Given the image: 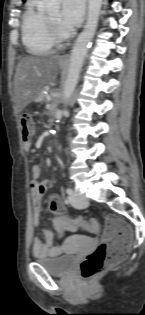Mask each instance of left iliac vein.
Returning <instances> with one entry per match:
<instances>
[{"mask_svg": "<svg viewBox=\"0 0 145 315\" xmlns=\"http://www.w3.org/2000/svg\"><path fill=\"white\" fill-rule=\"evenodd\" d=\"M70 203L75 207V208H85L88 206V199L87 197L80 195L76 192L72 193L68 197Z\"/></svg>", "mask_w": 145, "mask_h": 315, "instance_id": "obj_1", "label": "left iliac vein"}]
</instances>
